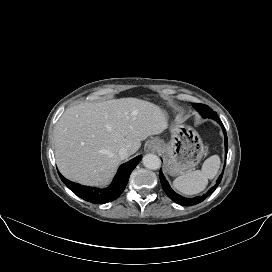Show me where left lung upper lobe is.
<instances>
[{
    "mask_svg": "<svg viewBox=\"0 0 272 272\" xmlns=\"http://www.w3.org/2000/svg\"><path fill=\"white\" fill-rule=\"evenodd\" d=\"M193 107L201 113V115L206 118H212L213 116H217L216 112H214L211 108L206 105L193 103Z\"/></svg>",
    "mask_w": 272,
    "mask_h": 272,
    "instance_id": "left-lung-upper-lobe-1",
    "label": "left lung upper lobe"
}]
</instances>
